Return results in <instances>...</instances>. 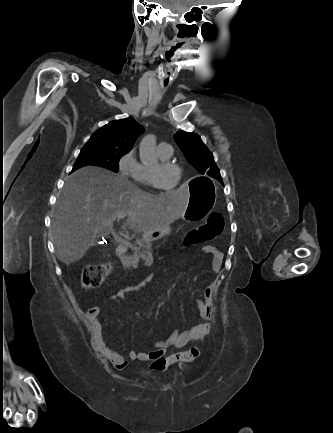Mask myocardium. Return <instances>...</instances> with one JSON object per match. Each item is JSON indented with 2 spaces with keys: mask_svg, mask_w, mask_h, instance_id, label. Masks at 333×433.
<instances>
[{
  "mask_svg": "<svg viewBox=\"0 0 333 433\" xmlns=\"http://www.w3.org/2000/svg\"><path fill=\"white\" fill-rule=\"evenodd\" d=\"M159 166L161 168H163V167L164 168H174L177 171L178 175L180 174V167L175 162H172V161H169V160H160L159 161ZM149 174H150V179H151V182H152L153 186L156 187L157 189H159V190H161V191H163V192H165L167 194H172V193H174L177 190V188H178V180H177L175 186L173 187V189L168 190V189L164 188L159 183L157 170H154V169L150 168Z\"/></svg>",
  "mask_w": 333,
  "mask_h": 433,
  "instance_id": "1",
  "label": "myocardium"
}]
</instances>
